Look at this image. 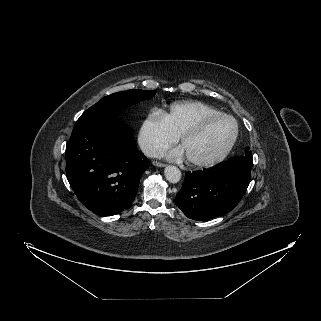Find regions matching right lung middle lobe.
<instances>
[{"mask_svg":"<svg viewBox=\"0 0 321 321\" xmlns=\"http://www.w3.org/2000/svg\"><path fill=\"white\" fill-rule=\"evenodd\" d=\"M154 95L155 92L150 90H127L113 93L87 109L76 124L113 116L117 112Z\"/></svg>","mask_w":321,"mask_h":321,"instance_id":"dd1d6c3e","label":"right lung middle lobe"}]
</instances>
